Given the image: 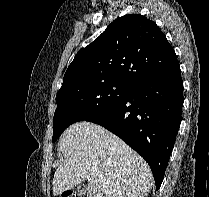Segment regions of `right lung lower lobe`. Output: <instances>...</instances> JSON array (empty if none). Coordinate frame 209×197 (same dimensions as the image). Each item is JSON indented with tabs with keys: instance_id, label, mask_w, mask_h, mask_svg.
I'll list each match as a JSON object with an SVG mask.
<instances>
[{
	"instance_id": "obj_1",
	"label": "right lung lower lobe",
	"mask_w": 209,
	"mask_h": 197,
	"mask_svg": "<svg viewBox=\"0 0 209 197\" xmlns=\"http://www.w3.org/2000/svg\"><path fill=\"white\" fill-rule=\"evenodd\" d=\"M183 101V81L176 59L86 121L105 127L136 150L150 165L159 189L179 130Z\"/></svg>"
}]
</instances>
